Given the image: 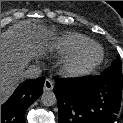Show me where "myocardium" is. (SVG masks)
<instances>
[{"instance_id":"obj_1","label":"myocardium","mask_w":123,"mask_h":123,"mask_svg":"<svg viewBox=\"0 0 123 123\" xmlns=\"http://www.w3.org/2000/svg\"><path fill=\"white\" fill-rule=\"evenodd\" d=\"M96 53L91 55V50ZM103 49L95 42H87L62 62V72L68 77H83L90 74L103 60Z\"/></svg>"}]
</instances>
